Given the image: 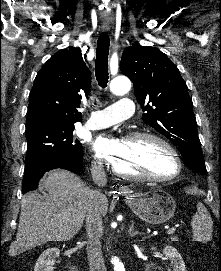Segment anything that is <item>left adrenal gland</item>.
<instances>
[{"label":"left adrenal gland","mask_w":221,"mask_h":271,"mask_svg":"<svg viewBox=\"0 0 221 271\" xmlns=\"http://www.w3.org/2000/svg\"><path fill=\"white\" fill-rule=\"evenodd\" d=\"M128 231H129L130 237H133V235H137V233H141V231H135L134 221H132L131 225H129Z\"/></svg>","instance_id":"1"}]
</instances>
